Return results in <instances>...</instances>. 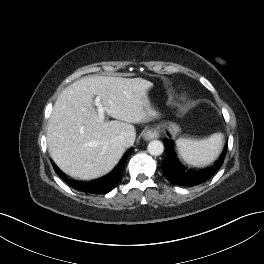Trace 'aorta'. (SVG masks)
<instances>
[{
	"mask_svg": "<svg viewBox=\"0 0 264 264\" xmlns=\"http://www.w3.org/2000/svg\"><path fill=\"white\" fill-rule=\"evenodd\" d=\"M164 151V145L159 140H153L148 144V152L153 156H159Z\"/></svg>",
	"mask_w": 264,
	"mask_h": 264,
	"instance_id": "1",
	"label": "aorta"
}]
</instances>
